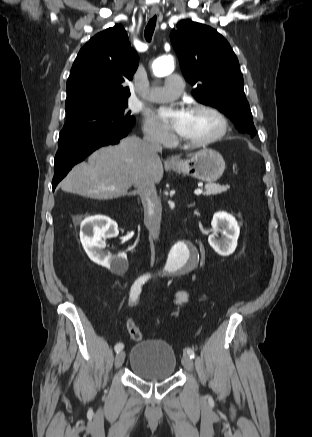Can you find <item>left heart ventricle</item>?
<instances>
[{"mask_svg": "<svg viewBox=\"0 0 312 437\" xmlns=\"http://www.w3.org/2000/svg\"><path fill=\"white\" fill-rule=\"evenodd\" d=\"M218 127V120L214 116L203 112H190L187 129L181 137L191 141L201 140L215 133Z\"/></svg>", "mask_w": 312, "mask_h": 437, "instance_id": "obj_1", "label": "left heart ventricle"}]
</instances>
